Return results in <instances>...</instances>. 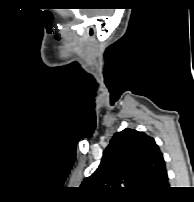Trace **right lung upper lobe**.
Returning <instances> with one entry per match:
<instances>
[{"instance_id": "right-lung-upper-lobe-1", "label": "right lung upper lobe", "mask_w": 194, "mask_h": 202, "mask_svg": "<svg viewBox=\"0 0 194 202\" xmlns=\"http://www.w3.org/2000/svg\"><path fill=\"white\" fill-rule=\"evenodd\" d=\"M82 185L100 195L147 198L164 192L168 175L154 139L126 128L113 136L99 167Z\"/></svg>"}]
</instances>
